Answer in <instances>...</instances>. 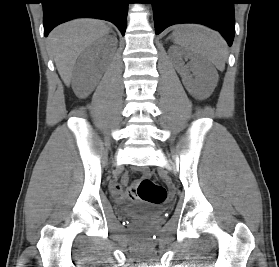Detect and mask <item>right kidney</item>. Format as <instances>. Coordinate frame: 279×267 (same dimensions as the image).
Listing matches in <instances>:
<instances>
[{
  "label": "right kidney",
  "mask_w": 279,
  "mask_h": 267,
  "mask_svg": "<svg viewBox=\"0 0 279 267\" xmlns=\"http://www.w3.org/2000/svg\"><path fill=\"white\" fill-rule=\"evenodd\" d=\"M113 45H117V38H112ZM109 42L106 39H100L99 41L90 45L83 53L80 62L77 65L75 75V92L76 94L84 98L90 94L93 89L92 75L100 72L95 61L98 58V54L103 47H107Z\"/></svg>",
  "instance_id": "ca27d5eb"
}]
</instances>
